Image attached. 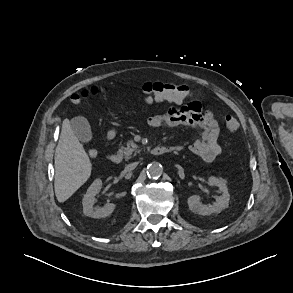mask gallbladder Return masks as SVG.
I'll list each match as a JSON object with an SVG mask.
<instances>
[{
  "mask_svg": "<svg viewBox=\"0 0 293 293\" xmlns=\"http://www.w3.org/2000/svg\"><path fill=\"white\" fill-rule=\"evenodd\" d=\"M71 128L76 137L82 142H89L92 140L91 127L85 117L77 116L70 121Z\"/></svg>",
  "mask_w": 293,
  "mask_h": 293,
  "instance_id": "1",
  "label": "gallbladder"
}]
</instances>
